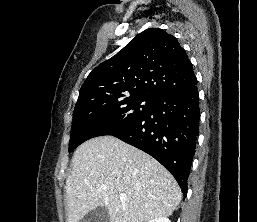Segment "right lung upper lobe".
I'll return each mask as SVG.
<instances>
[{
  "label": "right lung upper lobe",
  "mask_w": 257,
  "mask_h": 222,
  "mask_svg": "<svg viewBox=\"0 0 257 222\" xmlns=\"http://www.w3.org/2000/svg\"><path fill=\"white\" fill-rule=\"evenodd\" d=\"M196 81L192 63L177 39L162 29L150 28L88 75L77 104L94 97L158 99Z\"/></svg>",
  "instance_id": "obj_1"
}]
</instances>
